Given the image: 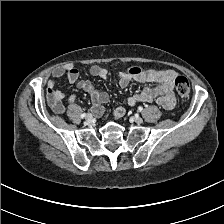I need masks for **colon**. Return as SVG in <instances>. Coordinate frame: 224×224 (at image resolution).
<instances>
[{"label":"colon","mask_w":224,"mask_h":224,"mask_svg":"<svg viewBox=\"0 0 224 224\" xmlns=\"http://www.w3.org/2000/svg\"><path fill=\"white\" fill-rule=\"evenodd\" d=\"M142 71L143 70L140 67H132V68L129 69V72L132 75L140 74ZM174 86H175L177 94L181 98H187L189 96V94H190V84H189V81L186 77H184V76L176 77V79L174 81Z\"/></svg>","instance_id":"colon-1"}]
</instances>
